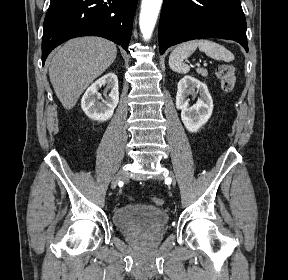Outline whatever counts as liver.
Wrapping results in <instances>:
<instances>
[{"label": "liver", "mask_w": 288, "mask_h": 280, "mask_svg": "<svg viewBox=\"0 0 288 280\" xmlns=\"http://www.w3.org/2000/svg\"><path fill=\"white\" fill-rule=\"evenodd\" d=\"M116 55V45L100 37L75 38L55 52L49 77L65 109L75 106L84 90L114 62Z\"/></svg>", "instance_id": "1"}]
</instances>
